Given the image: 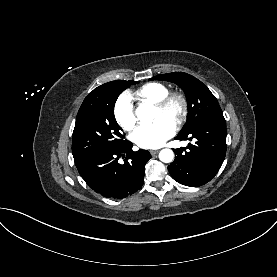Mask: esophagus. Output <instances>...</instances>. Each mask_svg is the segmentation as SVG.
Wrapping results in <instances>:
<instances>
[{
  "mask_svg": "<svg viewBox=\"0 0 277 277\" xmlns=\"http://www.w3.org/2000/svg\"><path fill=\"white\" fill-rule=\"evenodd\" d=\"M159 152V150H150V154L151 155H155V154H157Z\"/></svg>",
  "mask_w": 277,
  "mask_h": 277,
  "instance_id": "1",
  "label": "esophagus"
}]
</instances>
